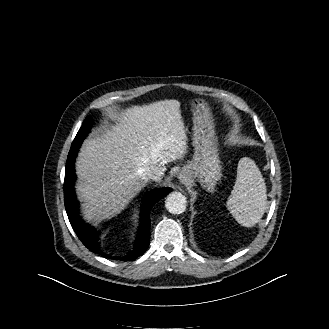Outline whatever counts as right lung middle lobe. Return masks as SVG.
Returning a JSON list of instances; mask_svg holds the SVG:
<instances>
[{
    "label": "right lung middle lobe",
    "instance_id": "dd1d6c3e",
    "mask_svg": "<svg viewBox=\"0 0 329 329\" xmlns=\"http://www.w3.org/2000/svg\"><path fill=\"white\" fill-rule=\"evenodd\" d=\"M91 125H92V119L89 116H87L83 122L82 127L80 128L75 139L73 140L69 154H72L75 150H77L80 147L82 140L89 133Z\"/></svg>",
    "mask_w": 329,
    "mask_h": 329
}]
</instances>
